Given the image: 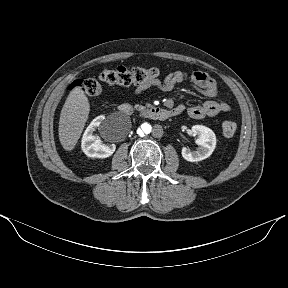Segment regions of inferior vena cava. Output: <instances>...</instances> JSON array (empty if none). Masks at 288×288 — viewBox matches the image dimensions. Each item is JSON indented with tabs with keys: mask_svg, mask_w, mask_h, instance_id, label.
<instances>
[{
	"mask_svg": "<svg viewBox=\"0 0 288 288\" xmlns=\"http://www.w3.org/2000/svg\"><path fill=\"white\" fill-rule=\"evenodd\" d=\"M152 135L155 138H160L163 135V128L160 125H155L152 128Z\"/></svg>",
	"mask_w": 288,
	"mask_h": 288,
	"instance_id": "602c4592",
	"label": "inferior vena cava"
}]
</instances>
